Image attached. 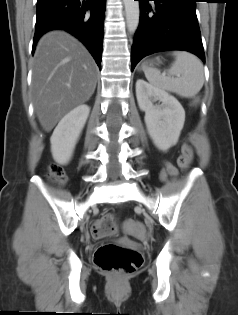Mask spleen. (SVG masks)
I'll return each mask as SVG.
<instances>
[{
	"instance_id": "3e777b00",
	"label": "spleen",
	"mask_w": 238,
	"mask_h": 315,
	"mask_svg": "<svg viewBox=\"0 0 238 315\" xmlns=\"http://www.w3.org/2000/svg\"><path fill=\"white\" fill-rule=\"evenodd\" d=\"M175 61L168 74L143 66L146 79L154 87L175 93L181 97L195 96L204 84V68L201 60L189 52H174Z\"/></svg>"
}]
</instances>
